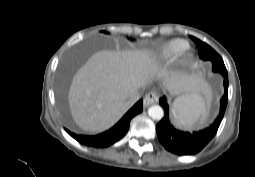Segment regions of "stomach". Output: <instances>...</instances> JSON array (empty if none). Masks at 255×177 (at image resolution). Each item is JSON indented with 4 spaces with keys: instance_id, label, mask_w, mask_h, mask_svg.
<instances>
[{
    "instance_id": "0dacf381",
    "label": "stomach",
    "mask_w": 255,
    "mask_h": 177,
    "mask_svg": "<svg viewBox=\"0 0 255 177\" xmlns=\"http://www.w3.org/2000/svg\"><path fill=\"white\" fill-rule=\"evenodd\" d=\"M190 95H193V93H192V94H188V95H186V96H190Z\"/></svg>"
}]
</instances>
